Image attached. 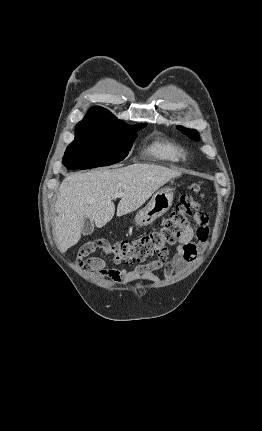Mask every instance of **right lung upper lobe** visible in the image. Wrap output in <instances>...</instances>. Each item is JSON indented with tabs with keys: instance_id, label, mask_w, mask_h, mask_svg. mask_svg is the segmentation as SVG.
Instances as JSON below:
<instances>
[{
	"instance_id": "right-lung-upper-lobe-1",
	"label": "right lung upper lobe",
	"mask_w": 262,
	"mask_h": 431,
	"mask_svg": "<svg viewBox=\"0 0 262 431\" xmlns=\"http://www.w3.org/2000/svg\"><path fill=\"white\" fill-rule=\"evenodd\" d=\"M118 120L108 110L102 107H92L88 114L77 125L85 124H107Z\"/></svg>"
}]
</instances>
